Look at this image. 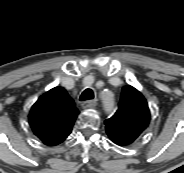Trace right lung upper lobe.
<instances>
[{
	"label": "right lung upper lobe",
	"instance_id": "obj_1",
	"mask_svg": "<svg viewBox=\"0 0 184 173\" xmlns=\"http://www.w3.org/2000/svg\"><path fill=\"white\" fill-rule=\"evenodd\" d=\"M78 114L66 90L55 87L44 93L32 106L29 124L45 145L56 146L71 133Z\"/></svg>",
	"mask_w": 184,
	"mask_h": 173
}]
</instances>
